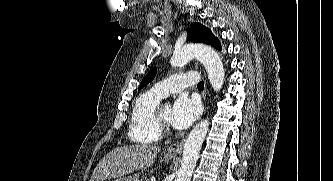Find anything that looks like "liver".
Masks as SVG:
<instances>
[{"label":"liver","mask_w":333,"mask_h":181,"mask_svg":"<svg viewBox=\"0 0 333 181\" xmlns=\"http://www.w3.org/2000/svg\"><path fill=\"white\" fill-rule=\"evenodd\" d=\"M160 150L159 146L139 144L116 148L97 164L90 181L118 180L126 174L146 169L153 165Z\"/></svg>","instance_id":"1"}]
</instances>
